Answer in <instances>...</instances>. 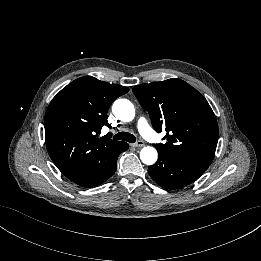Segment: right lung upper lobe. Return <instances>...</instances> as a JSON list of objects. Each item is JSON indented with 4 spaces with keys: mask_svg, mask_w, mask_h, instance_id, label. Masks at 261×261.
Instances as JSON below:
<instances>
[{
    "mask_svg": "<svg viewBox=\"0 0 261 261\" xmlns=\"http://www.w3.org/2000/svg\"><path fill=\"white\" fill-rule=\"evenodd\" d=\"M129 89L91 76L78 78L50 102L45 114L48 153L68 178L98 167L109 155L128 144L98 134L107 125L112 102Z\"/></svg>",
    "mask_w": 261,
    "mask_h": 261,
    "instance_id": "1",
    "label": "right lung upper lobe"
}]
</instances>
